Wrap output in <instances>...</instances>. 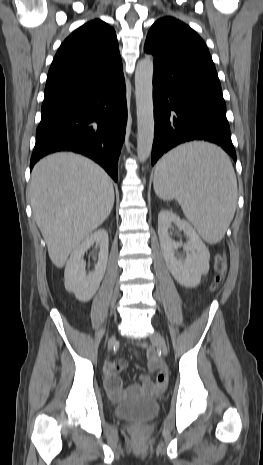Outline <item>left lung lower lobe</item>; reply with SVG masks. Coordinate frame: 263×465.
Segmentation results:
<instances>
[{
	"label": "left lung lower lobe",
	"instance_id": "left-lung-lower-lobe-1",
	"mask_svg": "<svg viewBox=\"0 0 263 465\" xmlns=\"http://www.w3.org/2000/svg\"><path fill=\"white\" fill-rule=\"evenodd\" d=\"M153 101L152 165L170 149L193 140L221 146L236 162L217 73L154 59Z\"/></svg>",
	"mask_w": 263,
	"mask_h": 465
}]
</instances>
